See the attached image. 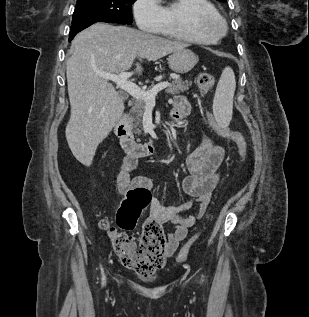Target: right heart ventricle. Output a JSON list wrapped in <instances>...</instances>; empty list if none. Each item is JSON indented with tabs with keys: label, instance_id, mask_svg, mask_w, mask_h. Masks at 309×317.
I'll use <instances>...</instances> for the list:
<instances>
[{
	"label": "right heart ventricle",
	"instance_id": "1",
	"mask_svg": "<svg viewBox=\"0 0 309 317\" xmlns=\"http://www.w3.org/2000/svg\"><path fill=\"white\" fill-rule=\"evenodd\" d=\"M163 8L164 24L158 31L165 37L193 42L213 44L218 38L196 34L189 26V17L193 11L207 10L217 13L209 0H174Z\"/></svg>",
	"mask_w": 309,
	"mask_h": 317
}]
</instances>
